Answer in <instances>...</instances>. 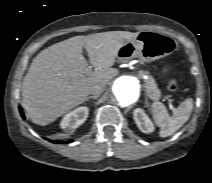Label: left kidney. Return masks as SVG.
Returning a JSON list of instances; mask_svg holds the SVG:
<instances>
[{"instance_id":"obj_1","label":"left kidney","mask_w":212,"mask_h":183,"mask_svg":"<svg viewBox=\"0 0 212 183\" xmlns=\"http://www.w3.org/2000/svg\"><path fill=\"white\" fill-rule=\"evenodd\" d=\"M133 116L141 132L148 134L152 133L155 130L152 121L150 120V118L143 109L141 108L135 109L133 112Z\"/></svg>"}]
</instances>
